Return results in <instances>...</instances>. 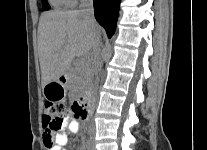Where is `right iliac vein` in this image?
I'll list each match as a JSON object with an SVG mask.
<instances>
[{
	"label": "right iliac vein",
	"mask_w": 207,
	"mask_h": 150,
	"mask_svg": "<svg viewBox=\"0 0 207 150\" xmlns=\"http://www.w3.org/2000/svg\"><path fill=\"white\" fill-rule=\"evenodd\" d=\"M88 150H90V144H89V146H88Z\"/></svg>",
	"instance_id": "63e3f726"
}]
</instances>
